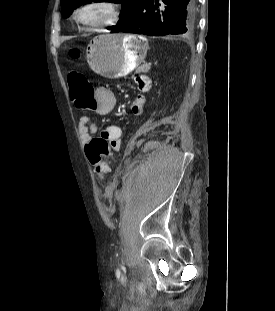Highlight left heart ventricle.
Returning <instances> with one entry per match:
<instances>
[{
    "label": "left heart ventricle",
    "mask_w": 275,
    "mask_h": 311,
    "mask_svg": "<svg viewBox=\"0 0 275 311\" xmlns=\"http://www.w3.org/2000/svg\"><path fill=\"white\" fill-rule=\"evenodd\" d=\"M87 16H88V18H90L92 20H98V19H101L102 17H104V13H103V11H101L99 9H94V10H91Z\"/></svg>",
    "instance_id": "obj_1"
}]
</instances>
